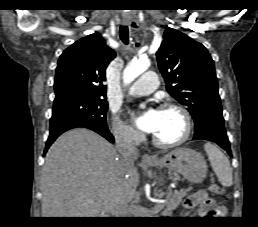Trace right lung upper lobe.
<instances>
[{
  "label": "right lung upper lobe",
  "instance_id": "1",
  "mask_svg": "<svg viewBox=\"0 0 258 227\" xmlns=\"http://www.w3.org/2000/svg\"><path fill=\"white\" fill-rule=\"evenodd\" d=\"M115 56L99 33L76 41L59 58L55 94L78 92L106 97L105 70Z\"/></svg>",
  "mask_w": 258,
  "mask_h": 227
}]
</instances>
